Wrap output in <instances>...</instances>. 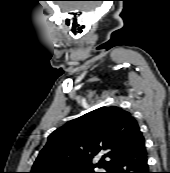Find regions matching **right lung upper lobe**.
Segmentation results:
<instances>
[{
    "label": "right lung upper lobe",
    "mask_w": 170,
    "mask_h": 173,
    "mask_svg": "<svg viewBox=\"0 0 170 173\" xmlns=\"http://www.w3.org/2000/svg\"><path fill=\"white\" fill-rule=\"evenodd\" d=\"M144 144L131 113L116 106L101 107L51 133L30 173H70L97 166L106 169ZM100 154L99 162L93 164Z\"/></svg>",
    "instance_id": "cb5924a9"
}]
</instances>
